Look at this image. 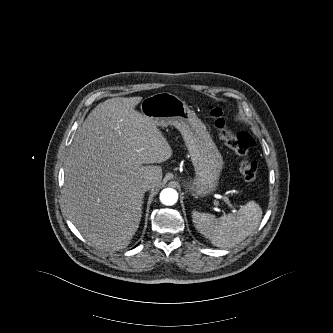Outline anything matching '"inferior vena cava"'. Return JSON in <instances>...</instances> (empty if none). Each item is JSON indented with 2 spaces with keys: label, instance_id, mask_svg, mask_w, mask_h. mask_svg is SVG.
Wrapping results in <instances>:
<instances>
[{
  "label": "inferior vena cava",
  "instance_id": "1",
  "mask_svg": "<svg viewBox=\"0 0 333 333\" xmlns=\"http://www.w3.org/2000/svg\"><path fill=\"white\" fill-rule=\"evenodd\" d=\"M154 183V180L152 178H149L143 183V188L147 191L153 187Z\"/></svg>",
  "mask_w": 333,
  "mask_h": 333
}]
</instances>
